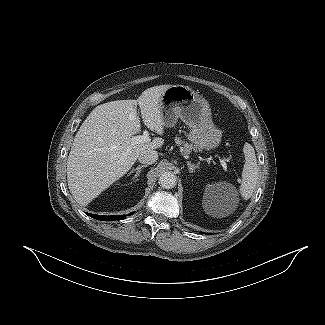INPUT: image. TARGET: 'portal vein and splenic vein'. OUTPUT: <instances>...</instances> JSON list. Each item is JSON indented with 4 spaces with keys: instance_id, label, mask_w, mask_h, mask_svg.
I'll list each match as a JSON object with an SVG mask.
<instances>
[{
    "instance_id": "18ae733b",
    "label": "portal vein and splenic vein",
    "mask_w": 325,
    "mask_h": 325,
    "mask_svg": "<svg viewBox=\"0 0 325 325\" xmlns=\"http://www.w3.org/2000/svg\"><path fill=\"white\" fill-rule=\"evenodd\" d=\"M131 140H132L133 143H147L151 139L149 137L148 131L145 130L142 135L133 136L131 138ZM219 160H220V163H221L222 167L226 170L227 169L226 161L224 159H221V158Z\"/></svg>"
}]
</instances>
